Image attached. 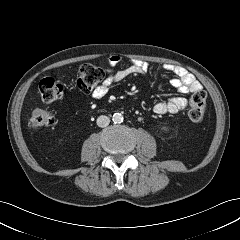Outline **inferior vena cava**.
<instances>
[{
    "label": "inferior vena cava",
    "instance_id": "602c4592",
    "mask_svg": "<svg viewBox=\"0 0 240 240\" xmlns=\"http://www.w3.org/2000/svg\"><path fill=\"white\" fill-rule=\"evenodd\" d=\"M109 123H110V119H109V117H107L105 115H101L97 118V125L99 127H102V128L106 127L109 125Z\"/></svg>",
    "mask_w": 240,
    "mask_h": 240
}]
</instances>
